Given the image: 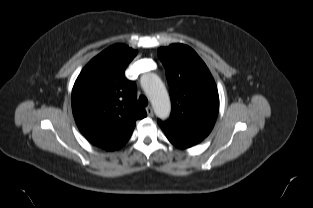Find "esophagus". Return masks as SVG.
Wrapping results in <instances>:
<instances>
[{
  "label": "esophagus",
  "mask_w": 313,
  "mask_h": 208,
  "mask_svg": "<svg viewBox=\"0 0 313 208\" xmlns=\"http://www.w3.org/2000/svg\"><path fill=\"white\" fill-rule=\"evenodd\" d=\"M146 112H147V115H148L149 117H152V116H153V109H152L151 106H147V107H146Z\"/></svg>",
  "instance_id": "esophagus-1"
}]
</instances>
